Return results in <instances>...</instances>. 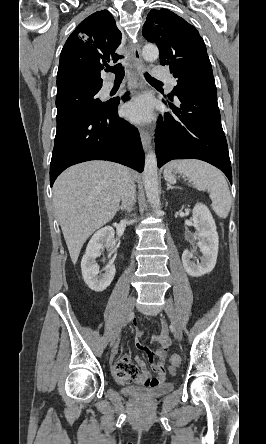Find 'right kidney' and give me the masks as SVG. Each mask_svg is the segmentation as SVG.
<instances>
[{
    "mask_svg": "<svg viewBox=\"0 0 266 444\" xmlns=\"http://www.w3.org/2000/svg\"><path fill=\"white\" fill-rule=\"evenodd\" d=\"M114 234V229L109 226L98 230L90 239L85 255L81 261L84 282L91 290L96 292L104 291L111 284L116 273L113 262H110L104 268V274H100L99 266L96 263V258L101 255L105 247L109 250L110 254L116 251Z\"/></svg>",
    "mask_w": 266,
    "mask_h": 444,
    "instance_id": "right-kidney-1",
    "label": "right kidney"
}]
</instances>
